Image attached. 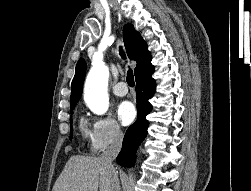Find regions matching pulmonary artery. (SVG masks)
I'll use <instances>...</instances> for the list:
<instances>
[{
  "instance_id": "e3ab8cb5",
  "label": "pulmonary artery",
  "mask_w": 251,
  "mask_h": 191,
  "mask_svg": "<svg viewBox=\"0 0 251 191\" xmlns=\"http://www.w3.org/2000/svg\"><path fill=\"white\" fill-rule=\"evenodd\" d=\"M113 93L117 96H125L128 93V86L124 82H119L114 85Z\"/></svg>"
}]
</instances>
